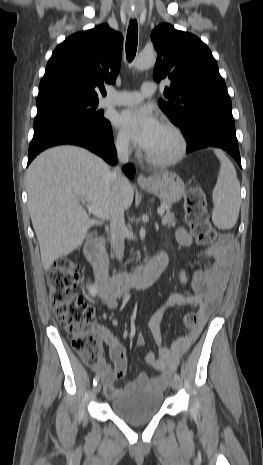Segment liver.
Instances as JSON below:
<instances>
[{
	"label": "liver",
	"instance_id": "obj_1",
	"mask_svg": "<svg viewBox=\"0 0 263 465\" xmlns=\"http://www.w3.org/2000/svg\"><path fill=\"white\" fill-rule=\"evenodd\" d=\"M111 173L101 158L70 145L48 149L32 161L26 172L28 208L45 270L80 247L91 227L111 217L117 201ZM133 198L129 183L120 192L124 209ZM81 202L100 207L104 218H89Z\"/></svg>",
	"mask_w": 263,
	"mask_h": 465
}]
</instances>
